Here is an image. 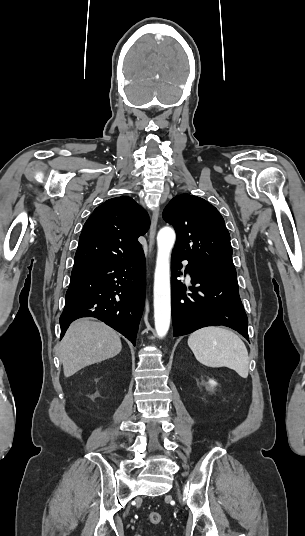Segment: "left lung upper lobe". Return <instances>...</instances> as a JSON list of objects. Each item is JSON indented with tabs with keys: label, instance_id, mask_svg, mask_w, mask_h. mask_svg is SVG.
Instances as JSON below:
<instances>
[{
	"label": "left lung upper lobe",
	"instance_id": "5c2ea615",
	"mask_svg": "<svg viewBox=\"0 0 305 536\" xmlns=\"http://www.w3.org/2000/svg\"><path fill=\"white\" fill-rule=\"evenodd\" d=\"M163 218L176 231L172 254L204 271L236 275L230 235L214 206L200 197L181 194L165 207Z\"/></svg>",
	"mask_w": 305,
	"mask_h": 536
}]
</instances>
